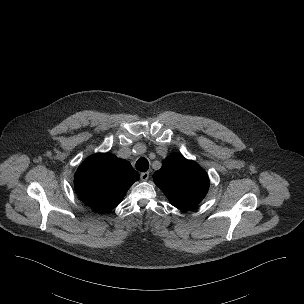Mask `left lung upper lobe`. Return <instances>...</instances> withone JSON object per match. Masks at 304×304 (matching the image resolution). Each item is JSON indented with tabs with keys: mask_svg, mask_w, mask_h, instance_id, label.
<instances>
[{
	"mask_svg": "<svg viewBox=\"0 0 304 304\" xmlns=\"http://www.w3.org/2000/svg\"><path fill=\"white\" fill-rule=\"evenodd\" d=\"M153 178L170 203L182 210L198 205L209 189L207 173L196 162L178 154L166 157Z\"/></svg>",
	"mask_w": 304,
	"mask_h": 304,
	"instance_id": "1",
	"label": "left lung upper lobe"
}]
</instances>
